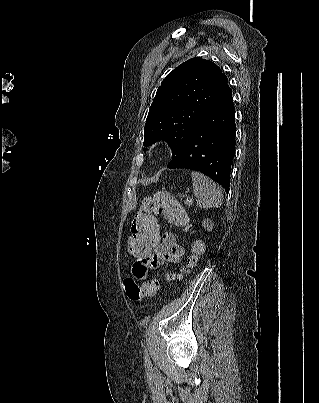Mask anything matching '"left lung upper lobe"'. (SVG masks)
Returning a JSON list of instances; mask_svg holds the SVG:
<instances>
[{"mask_svg": "<svg viewBox=\"0 0 319 403\" xmlns=\"http://www.w3.org/2000/svg\"><path fill=\"white\" fill-rule=\"evenodd\" d=\"M228 82L209 60L192 58L176 67L159 86L144 127V147L158 140L181 153L207 108Z\"/></svg>", "mask_w": 319, "mask_h": 403, "instance_id": "1", "label": "left lung upper lobe"}]
</instances>
